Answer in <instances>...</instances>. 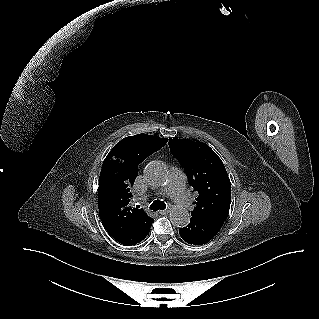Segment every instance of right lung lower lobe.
<instances>
[{"instance_id":"1","label":"right lung lower lobe","mask_w":319,"mask_h":319,"mask_svg":"<svg viewBox=\"0 0 319 319\" xmlns=\"http://www.w3.org/2000/svg\"><path fill=\"white\" fill-rule=\"evenodd\" d=\"M149 231H150V230H149ZM149 231H148V233H149ZM148 233H146L145 236H144L139 242H141V241L148 235ZM139 242H138V243H139Z\"/></svg>"}]
</instances>
